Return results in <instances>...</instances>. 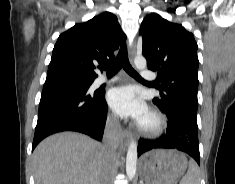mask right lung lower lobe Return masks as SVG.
Instances as JSON below:
<instances>
[{"label":"right lung lower lobe","instance_id":"obj_1","mask_svg":"<svg viewBox=\"0 0 235 184\" xmlns=\"http://www.w3.org/2000/svg\"><path fill=\"white\" fill-rule=\"evenodd\" d=\"M88 89L65 78L45 82L32 151L45 137L62 131L81 132L102 140L108 110L105 91L90 93Z\"/></svg>","mask_w":235,"mask_h":184}]
</instances>
